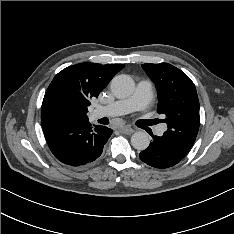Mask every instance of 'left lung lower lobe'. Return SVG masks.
I'll return each instance as SVG.
<instances>
[{
  "instance_id": "0a47b994",
  "label": "left lung lower lobe",
  "mask_w": 234,
  "mask_h": 234,
  "mask_svg": "<svg viewBox=\"0 0 234 234\" xmlns=\"http://www.w3.org/2000/svg\"><path fill=\"white\" fill-rule=\"evenodd\" d=\"M149 147L139 154L140 159L155 168H169L180 162L188 153L183 147L166 133L163 136H152Z\"/></svg>"
}]
</instances>
